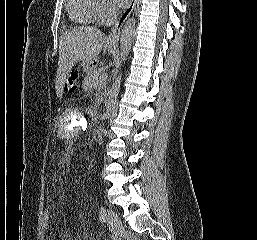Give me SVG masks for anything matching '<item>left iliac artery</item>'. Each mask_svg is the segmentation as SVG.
<instances>
[{"label":"left iliac artery","instance_id":"obj_1","mask_svg":"<svg viewBox=\"0 0 257 240\" xmlns=\"http://www.w3.org/2000/svg\"><path fill=\"white\" fill-rule=\"evenodd\" d=\"M105 217H106V209L103 206H101L99 211L100 221H105Z\"/></svg>","mask_w":257,"mask_h":240}]
</instances>
